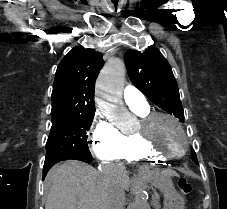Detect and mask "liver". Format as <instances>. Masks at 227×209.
I'll return each instance as SVG.
<instances>
[{"mask_svg": "<svg viewBox=\"0 0 227 209\" xmlns=\"http://www.w3.org/2000/svg\"><path fill=\"white\" fill-rule=\"evenodd\" d=\"M113 173L111 165L103 173L81 161L55 165L45 179V209H105Z\"/></svg>", "mask_w": 227, "mask_h": 209, "instance_id": "6515ba94", "label": "liver"}]
</instances>
